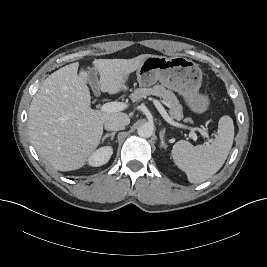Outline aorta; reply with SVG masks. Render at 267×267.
I'll return each instance as SVG.
<instances>
[{"instance_id": "obj_1", "label": "aorta", "mask_w": 267, "mask_h": 267, "mask_svg": "<svg viewBox=\"0 0 267 267\" xmlns=\"http://www.w3.org/2000/svg\"><path fill=\"white\" fill-rule=\"evenodd\" d=\"M137 133L140 137L150 138L153 134V125L149 123L142 124L138 127Z\"/></svg>"}]
</instances>
